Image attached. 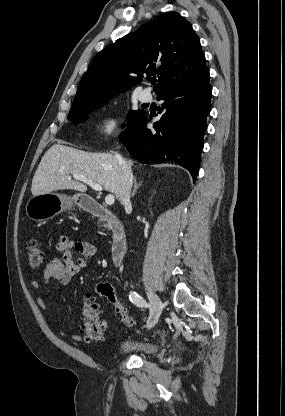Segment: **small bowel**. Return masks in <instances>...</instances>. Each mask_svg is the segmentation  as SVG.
I'll list each match as a JSON object with an SVG mask.
<instances>
[{
	"instance_id": "obj_1",
	"label": "small bowel",
	"mask_w": 285,
	"mask_h": 416,
	"mask_svg": "<svg viewBox=\"0 0 285 416\" xmlns=\"http://www.w3.org/2000/svg\"><path fill=\"white\" fill-rule=\"evenodd\" d=\"M56 249L61 253V258H54L45 267L42 280H34L32 286L39 289L43 284L57 282L60 285H68L72 279L80 272L84 266L83 258L91 257L95 254L96 248L91 243L85 241L74 242L67 237H61L57 241ZM77 252L81 258L75 259L73 252ZM38 305L48 311V304L43 297L37 298ZM59 333L73 341H81L82 336L77 333H70L60 329Z\"/></svg>"
}]
</instances>
